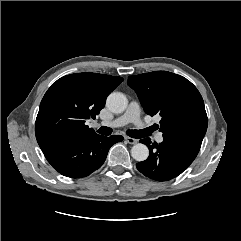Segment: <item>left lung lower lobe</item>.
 <instances>
[{
  "label": "left lung lower lobe",
  "mask_w": 241,
  "mask_h": 241,
  "mask_svg": "<svg viewBox=\"0 0 241 241\" xmlns=\"http://www.w3.org/2000/svg\"><path fill=\"white\" fill-rule=\"evenodd\" d=\"M162 143H153L149 138L140 140L150 150L149 157L136 164L146 177L156 181H168L180 175L196 158L203 137L163 136Z\"/></svg>",
  "instance_id": "obj_1"
}]
</instances>
